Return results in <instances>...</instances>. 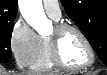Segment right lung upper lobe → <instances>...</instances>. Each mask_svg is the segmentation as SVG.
Wrapping results in <instances>:
<instances>
[{"instance_id": "right-lung-upper-lobe-1", "label": "right lung upper lobe", "mask_w": 107, "mask_h": 75, "mask_svg": "<svg viewBox=\"0 0 107 75\" xmlns=\"http://www.w3.org/2000/svg\"><path fill=\"white\" fill-rule=\"evenodd\" d=\"M17 14V0H0V23L14 22Z\"/></svg>"}]
</instances>
